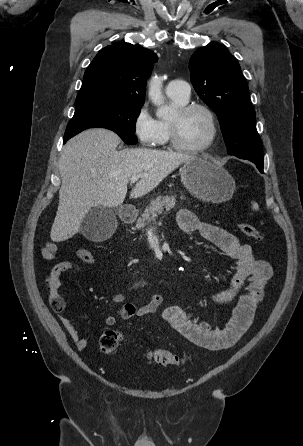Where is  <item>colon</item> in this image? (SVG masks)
I'll use <instances>...</instances> for the list:
<instances>
[{
	"label": "colon",
	"mask_w": 303,
	"mask_h": 446,
	"mask_svg": "<svg viewBox=\"0 0 303 446\" xmlns=\"http://www.w3.org/2000/svg\"><path fill=\"white\" fill-rule=\"evenodd\" d=\"M237 227L240 232L248 238L256 241H260L263 238L261 232L249 223H238ZM76 254L77 257L85 263L94 262L93 253L86 248L78 249ZM122 341L123 334L119 330L108 329L104 331L100 337V350L104 354L111 355L118 349ZM146 357L149 362L162 366L180 365L188 360L187 357H181L162 349L151 350L146 354Z\"/></svg>",
	"instance_id": "obj_1"
}]
</instances>
